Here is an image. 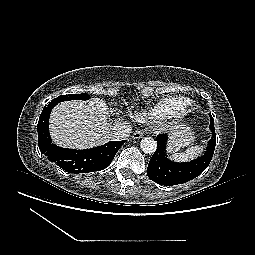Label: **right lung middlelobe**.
<instances>
[{
    "mask_svg": "<svg viewBox=\"0 0 255 255\" xmlns=\"http://www.w3.org/2000/svg\"><path fill=\"white\" fill-rule=\"evenodd\" d=\"M90 95L87 93H82V94H68V95H61L55 99H53L48 106H45L42 114L46 111L51 112L54 106H56L58 103L63 102V101H68V100H89ZM41 114V115H42Z\"/></svg>",
    "mask_w": 255,
    "mask_h": 255,
    "instance_id": "1",
    "label": "right lung middle lobe"
}]
</instances>
